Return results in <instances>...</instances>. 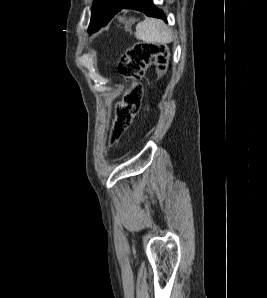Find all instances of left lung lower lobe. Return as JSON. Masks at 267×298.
I'll return each mask as SVG.
<instances>
[{
  "label": "left lung lower lobe",
  "instance_id": "1",
  "mask_svg": "<svg viewBox=\"0 0 267 298\" xmlns=\"http://www.w3.org/2000/svg\"><path fill=\"white\" fill-rule=\"evenodd\" d=\"M122 9H135L145 13L147 16L164 18L162 11L158 10L152 4V0H119L91 17V22L88 28L89 34L98 31L101 27L108 24L113 16Z\"/></svg>",
  "mask_w": 267,
  "mask_h": 298
}]
</instances>
